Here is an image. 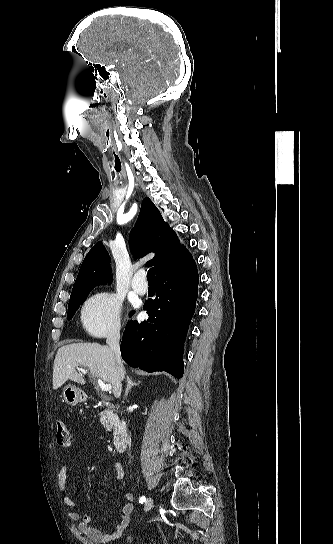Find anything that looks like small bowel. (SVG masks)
<instances>
[{
  "instance_id": "1",
  "label": "small bowel",
  "mask_w": 333,
  "mask_h": 544,
  "mask_svg": "<svg viewBox=\"0 0 333 544\" xmlns=\"http://www.w3.org/2000/svg\"><path fill=\"white\" fill-rule=\"evenodd\" d=\"M70 465L71 463L69 461L62 462L57 476L58 486L62 494L63 502L72 509V511L68 512V517L73 521H79L78 529L94 542H108L118 538L129 523L132 510L131 503L133 501V494L131 492L125 493L124 497L126 504L122 508L119 521L108 532H105L102 527L93 522L90 515H81V513L78 511V504L73 500L68 492L67 480ZM113 467L115 469L116 479L118 481L122 480L124 478V470L121 463L115 462Z\"/></svg>"
}]
</instances>
